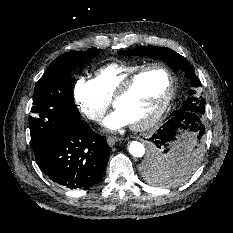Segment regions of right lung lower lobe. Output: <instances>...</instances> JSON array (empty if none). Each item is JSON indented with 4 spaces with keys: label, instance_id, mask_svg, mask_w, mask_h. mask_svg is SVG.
I'll return each instance as SVG.
<instances>
[{
    "label": "right lung lower lobe",
    "instance_id": "obj_1",
    "mask_svg": "<svg viewBox=\"0 0 233 233\" xmlns=\"http://www.w3.org/2000/svg\"><path fill=\"white\" fill-rule=\"evenodd\" d=\"M110 149L106 138L80 119L62 122L37 163L52 181L71 189H88L102 176Z\"/></svg>",
    "mask_w": 233,
    "mask_h": 233
}]
</instances>
